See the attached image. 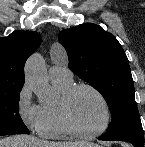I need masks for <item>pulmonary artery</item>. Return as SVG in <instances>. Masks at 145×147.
<instances>
[{
	"label": "pulmonary artery",
	"mask_w": 145,
	"mask_h": 147,
	"mask_svg": "<svg viewBox=\"0 0 145 147\" xmlns=\"http://www.w3.org/2000/svg\"><path fill=\"white\" fill-rule=\"evenodd\" d=\"M49 77L51 79L71 80L73 73L66 65L55 64L49 69Z\"/></svg>",
	"instance_id": "1"
}]
</instances>
